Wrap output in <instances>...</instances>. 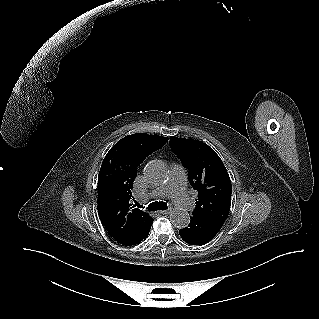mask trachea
Returning a JSON list of instances; mask_svg holds the SVG:
<instances>
[{
    "label": "trachea",
    "mask_w": 319,
    "mask_h": 319,
    "mask_svg": "<svg viewBox=\"0 0 319 319\" xmlns=\"http://www.w3.org/2000/svg\"><path fill=\"white\" fill-rule=\"evenodd\" d=\"M136 206L139 207V208H145L143 207L142 205L136 203ZM168 208L167 206V203L165 202H158V201H155V202H152L148 205V207H146L147 210L149 211H157V210H166Z\"/></svg>",
    "instance_id": "3493384b"
}]
</instances>
